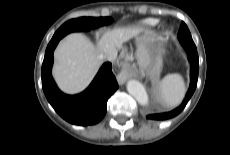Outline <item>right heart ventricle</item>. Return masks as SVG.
<instances>
[{
	"instance_id": "1",
	"label": "right heart ventricle",
	"mask_w": 230,
	"mask_h": 155,
	"mask_svg": "<svg viewBox=\"0 0 230 155\" xmlns=\"http://www.w3.org/2000/svg\"><path fill=\"white\" fill-rule=\"evenodd\" d=\"M157 22L155 18H146L139 23L138 27L142 30L150 29L156 26Z\"/></svg>"
}]
</instances>
